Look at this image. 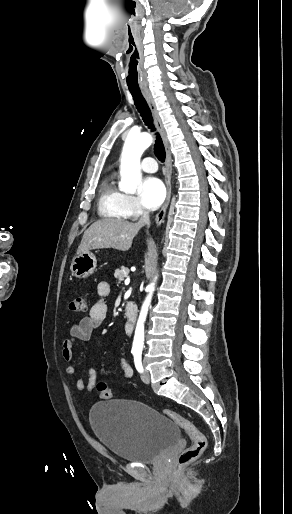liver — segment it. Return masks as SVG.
<instances>
[{
	"label": "liver",
	"instance_id": "liver-1",
	"mask_svg": "<svg viewBox=\"0 0 292 514\" xmlns=\"http://www.w3.org/2000/svg\"><path fill=\"white\" fill-rule=\"evenodd\" d=\"M140 228H142L140 222L132 224L126 220H112V218L97 220L84 232L77 254L98 250V248H115L126 252L131 248L132 240Z\"/></svg>",
	"mask_w": 292,
	"mask_h": 514
}]
</instances>
